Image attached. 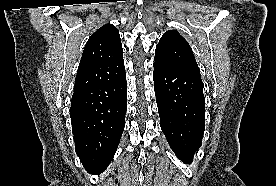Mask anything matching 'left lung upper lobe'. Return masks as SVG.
<instances>
[{
    "mask_svg": "<svg viewBox=\"0 0 276 186\" xmlns=\"http://www.w3.org/2000/svg\"><path fill=\"white\" fill-rule=\"evenodd\" d=\"M156 63L200 75V70L188 42L175 30L161 37L155 50Z\"/></svg>",
    "mask_w": 276,
    "mask_h": 186,
    "instance_id": "1",
    "label": "left lung upper lobe"
}]
</instances>
